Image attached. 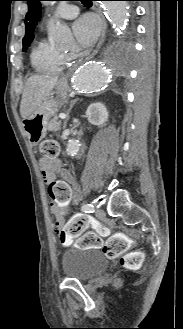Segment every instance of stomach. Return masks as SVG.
<instances>
[{
    "instance_id": "stomach-1",
    "label": "stomach",
    "mask_w": 183,
    "mask_h": 329,
    "mask_svg": "<svg viewBox=\"0 0 183 329\" xmlns=\"http://www.w3.org/2000/svg\"><path fill=\"white\" fill-rule=\"evenodd\" d=\"M57 97H47L37 109L23 119V129L31 145L36 146L42 141L48 129V122L67 100V85L59 82L56 85Z\"/></svg>"
}]
</instances>
